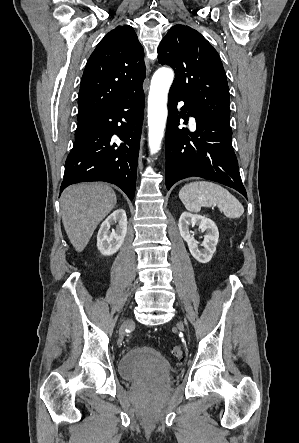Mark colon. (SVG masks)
I'll use <instances>...</instances> for the list:
<instances>
[{
  "label": "colon",
  "instance_id": "5ec220e1",
  "mask_svg": "<svg viewBox=\"0 0 299 443\" xmlns=\"http://www.w3.org/2000/svg\"><path fill=\"white\" fill-rule=\"evenodd\" d=\"M171 352L176 358H182L183 356V348L180 345L174 346Z\"/></svg>",
  "mask_w": 299,
  "mask_h": 443
}]
</instances>
